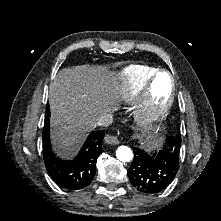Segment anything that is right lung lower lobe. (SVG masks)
Returning a JSON list of instances; mask_svg holds the SVG:
<instances>
[{
    "label": "right lung lower lobe",
    "instance_id": "right-lung-lower-lobe-1",
    "mask_svg": "<svg viewBox=\"0 0 221 221\" xmlns=\"http://www.w3.org/2000/svg\"><path fill=\"white\" fill-rule=\"evenodd\" d=\"M49 117L50 111L47 108L42 137L44 161L48 173L54 182L64 189L80 190L87 187L95 176L97 158L103 152L101 146L103 131L92 132L78 156L72 161H64L51 150Z\"/></svg>",
    "mask_w": 221,
    "mask_h": 221
}]
</instances>
